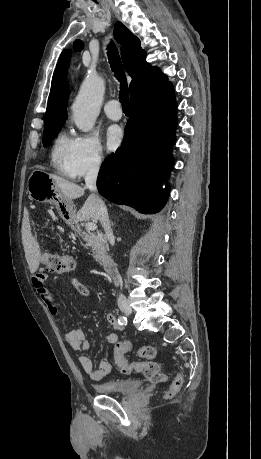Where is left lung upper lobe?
Wrapping results in <instances>:
<instances>
[{
    "instance_id": "obj_1",
    "label": "left lung upper lobe",
    "mask_w": 261,
    "mask_h": 459,
    "mask_svg": "<svg viewBox=\"0 0 261 459\" xmlns=\"http://www.w3.org/2000/svg\"><path fill=\"white\" fill-rule=\"evenodd\" d=\"M80 43H81V42H80L79 40L75 41V43H74V49H75L76 51H80V50H81V47H80L81 44H80Z\"/></svg>"
}]
</instances>
